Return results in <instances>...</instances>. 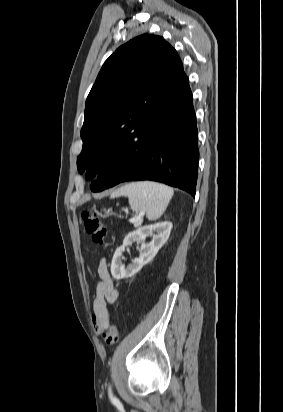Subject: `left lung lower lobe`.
<instances>
[{
	"mask_svg": "<svg viewBox=\"0 0 283 412\" xmlns=\"http://www.w3.org/2000/svg\"><path fill=\"white\" fill-rule=\"evenodd\" d=\"M199 150L196 116L188 78L140 147L109 156L91 190L99 192L125 181L151 180L196 193Z\"/></svg>",
	"mask_w": 283,
	"mask_h": 412,
	"instance_id": "0a47b994",
	"label": "left lung lower lobe"
}]
</instances>
